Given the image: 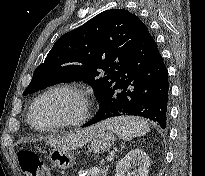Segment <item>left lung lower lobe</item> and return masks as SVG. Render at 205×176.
Instances as JSON below:
<instances>
[{"label":"left lung lower lobe","instance_id":"obj_1","mask_svg":"<svg viewBox=\"0 0 205 176\" xmlns=\"http://www.w3.org/2000/svg\"><path fill=\"white\" fill-rule=\"evenodd\" d=\"M168 72L146 27L123 61L113 86L99 101L100 109L83 127L119 116H143L162 129L168 117Z\"/></svg>","mask_w":205,"mask_h":176}]
</instances>
